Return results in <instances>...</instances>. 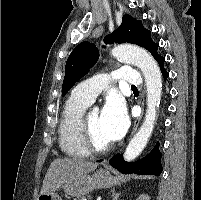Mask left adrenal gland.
Listing matches in <instances>:
<instances>
[{"label": "left adrenal gland", "instance_id": "obj_1", "mask_svg": "<svg viewBox=\"0 0 201 200\" xmlns=\"http://www.w3.org/2000/svg\"><path fill=\"white\" fill-rule=\"evenodd\" d=\"M112 200H118L120 193H116L115 190H112Z\"/></svg>", "mask_w": 201, "mask_h": 200}]
</instances>
